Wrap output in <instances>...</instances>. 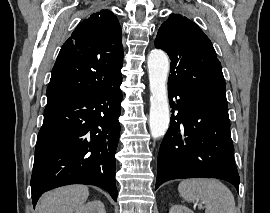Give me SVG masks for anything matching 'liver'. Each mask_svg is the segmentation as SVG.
Segmentation results:
<instances>
[{
    "label": "liver",
    "instance_id": "obj_1",
    "mask_svg": "<svg viewBox=\"0 0 270 213\" xmlns=\"http://www.w3.org/2000/svg\"><path fill=\"white\" fill-rule=\"evenodd\" d=\"M89 196L88 187L82 185L65 186L47 192L37 204L38 213H73L81 207Z\"/></svg>",
    "mask_w": 270,
    "mask_h": 213
}]
</instances>
